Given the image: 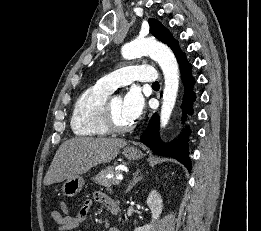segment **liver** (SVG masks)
Instances as JSON below:
<instances>
[{
    "label": "liver",
    "mask_w": 261,
    "mask_h": 231,
    "mask_svg": "<svg viewBox=\"0 0 261 231\" xmlns=\"http://www.w3.org/2000/svg\"><path fill=\"white\" fill-rule=\"evenodd\" d=\"M127 142L115 138L76 137L65 141L56 152L44 177V185L68 180L97 164L110 162Z\"/></svg>",
    "instance_id": "liver-1"
}]
</instances>
